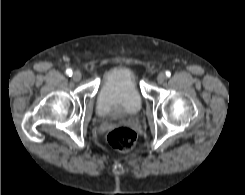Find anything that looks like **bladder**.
<instances>
[{"label": "bladder", "instance_id": "obj_1", "mask_svg": "<svg viewBox=\"0 0 245 195\" xmlns=\"http://www.w3.org/2000/svg\"><path fill=\"white\" fill-rule=\"evenodd\" d=\"M142 104L143 97L130 68L116 67L106 75L97 95L100 116L134 115Z\"/></svg>", "mask_w": 245, "mask_h": 195}]
</instances>
